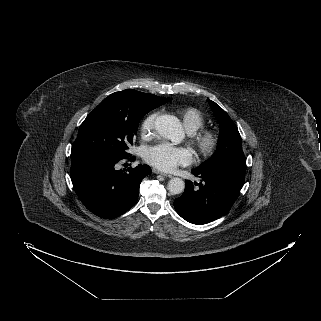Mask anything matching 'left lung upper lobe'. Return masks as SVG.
Listing matches in <instances>:
<instances>
[{
    "label": "left lung upper lobe",
    "instance_id": "1",
    "mask_svg": "<svg viewBox=\"0 0 321 321\" xmlns=\"http://www.w3.org/2000/svg\"><path fill=\"white\" fill-rule=\"evenodd\" d=\"M214 115L220 125V133L216 151L207 161L197 168L208 167L227 161L245 160L242 150V139L237 126L229 115L222 110L215 102L208 99Z\"/></svg>",
    "mask_w": 321,
    "mask_h": 321
}]
</instances>
